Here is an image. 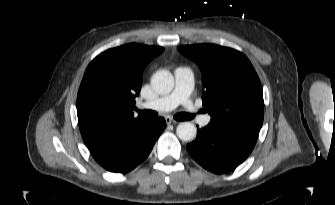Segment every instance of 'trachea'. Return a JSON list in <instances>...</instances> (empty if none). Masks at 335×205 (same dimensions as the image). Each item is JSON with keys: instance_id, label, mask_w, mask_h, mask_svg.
I'll list each match as a JSON object with an SVG mask.
<instances>
[{"instance_id": "obj_1", "label": "trachea", "mask_w": 335, "mask_h": 205, "mask_svg": "<svg viewBox=\"0 0 335 205\" xmlns=\"http://www.w3.org/2000/svg\"><path fill=\"white\" fill-rule=\"evenodd\" d=\"M138 113H140L143 117L146 118H153L156 117L158 115L157 112L152 111V110H137ZM174 118L178 121H184V120H191L193 118L192 115L190 114H186V113H178L174 116Z\"/></svg>"}]
</instances>
